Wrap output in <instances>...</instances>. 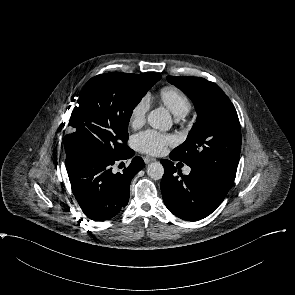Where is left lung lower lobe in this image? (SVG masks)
Segmentation results:
<instances>
[{"mask_svg":"<svg viewBox=\"0 0 295 295\" xmlns=\"http://www.w3.org/2000/svg\"><path fill=\"white\" fill-rule=\"evenodd\" d=\"M170 159L178 161L171 153ZM161 192L166 207L177 217L197 221L210 215L224 200L230 187L212 173L191 168L189 175H177L170 160L163 159Z\"/></svg>","mask_w":295,"mask_h":295,"instance_id":"left-lung-lower-lobe-1","label":"left lung lower lobe"}]
</instances>
